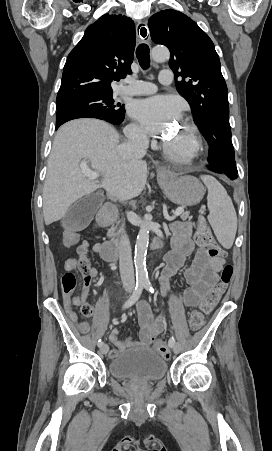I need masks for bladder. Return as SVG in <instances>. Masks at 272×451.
<instances>
[{
	"label": "bladder",
	"instance_id": "obj_1",
	"mask_svg": "<svg viewBox=\"0 0 272 451\" xmlns=\"http://www.w3.org/2000/svg\"><path fill=\"white\" fill-rule=\"evenodd\" d=\"M108 373L118 381L154 382L165 378L167 362L151 349L129 350L108 362Z\"/></svg>",
	"mask_w": 272,
	"mask_h": 451
}]
</instances>
